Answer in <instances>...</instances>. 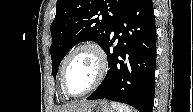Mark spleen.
<instances>
[{"instance_id":"3e777b00","label":"spleen","mask_w":193,"mask_h":112,"mask_svg":"<svg viewBox=\"0 0 193 112\" xmlns=\"http://www.w3.org/2000/svg\"><path fill=\"white\" fill-rule=\"evenodd\" d=\"M110 104L116 110V112H136L134 109L127 105H123L117 102H111Z\"/></svg>"}]
</instances>
